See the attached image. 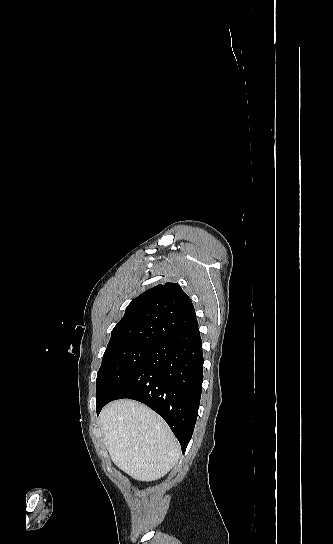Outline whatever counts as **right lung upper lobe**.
<instances>
[{"instance_id":"obj_1","label":"right lung upper lobe","mask_w":333,"mask_h":544,"mask_svg":"<svg viewBox=\"0 0 333 544\" xmlns=\"http://www.w3.org/2000/svg\"><path fill=\"white\" fill-rule=\"evenodd\" d=\"M198 325L191 299L176 283L159 284L131 301L106 350L154 344Z\"/></svg>"}]
</instances>
